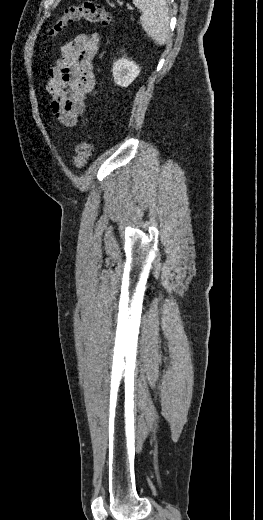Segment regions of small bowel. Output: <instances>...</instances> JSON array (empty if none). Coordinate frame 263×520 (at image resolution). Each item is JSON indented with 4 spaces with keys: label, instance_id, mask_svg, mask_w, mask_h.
<instances>
[{
    "label": "small bowel",
    "instance_id": "obj_1",
    "mask_svg": "<svg viewBox=\"0 0 263 520\" xmlns=\"http://www.w3.org/2000/svg\"><path fill=\"white\" fill-rule=\"evenodd\" d=\"M98 49V34L78 35L61 48L59 59L48 71L47 105L66 127H73L84 113L87 96L95 87L92 61Z\"/></svg>",
    "mask_w": 263,
    "mask_h": 520
}]
</instances>
